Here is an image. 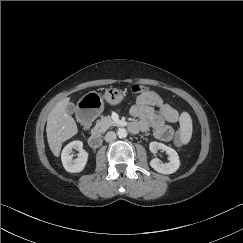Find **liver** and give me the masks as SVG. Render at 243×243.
<instances>
[{
    "instance_id": "obj_1",
    "label": "liver",
    "mask_w": 243,
    "mask_h": 243,
    "mask_svg": "<svg viewBox=\"0 0 243 243\" xmlns=\"http://www.w3.org/2000/svg\"><path fill=\"white\" fill-rule=\"evenodd\" d=\"M70 98L60 100L50 111L47 118L46 133L51 152L58 157L62 143L78 133L74 118L66 111Z\"/></svg>"
}]
</instances>
